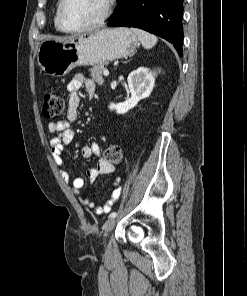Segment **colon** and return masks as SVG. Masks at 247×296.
Listing matches in <instances>:
<instances>
[{
    "label": "colon",
    "mask_w": 247,
    "mask_h": 296,
    "mask_svg": "<svg viewBox=\"0 0 247 296\" xmlns=\"http://www.w3.org/2000/svg\"><path fill=\"white\" fill-rule=\"evenodd\" d=\"M65 107L63 94L58 90H49L44 95L43 115L47 119L60 116ZM122 150L118 145H109L104 151V159L112 165L122 163Z\"/></svg>",
    "instance_id": "colon-1"
}]
</instances>
